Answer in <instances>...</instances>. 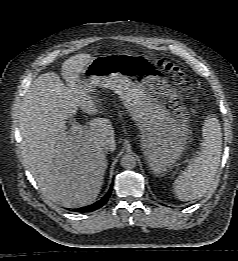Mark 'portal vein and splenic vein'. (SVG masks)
<instances>
[{"instance_id":"obj_1","label":"portal vein and splenic vein","mask_w":238,"mask_h":261,"mask_svg":"<svg viewBox=\"0 0 238 261\" xmlns=\"http://www.w3.org/2000/svg\"><path fill=\"white\" fill-rule=\"evenodd\" d=\"M70 130L72 133H81L85 130V127L78 122H73Z\"/></svg>"}]
</instances>
